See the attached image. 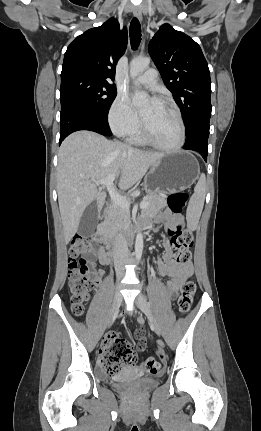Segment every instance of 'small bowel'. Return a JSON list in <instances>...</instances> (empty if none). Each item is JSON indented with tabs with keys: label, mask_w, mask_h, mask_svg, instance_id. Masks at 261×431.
<instances>
[{
	"label": "small bowel",
	"mask_w": 261,
	"mask_h": 431,
	"mask_svg": "<svg viewBox=\"0 0 261 431\" xmlns=\"http://www.w3.org/2000/svg\"><path fill=\"white\" fill-rule=\"evenodd\" d=\"M156 220L166 221L170 228H174L181 222V218L179 216L174 215L169 211H165L163 214L156 217ZM150 221L151 219L147 218L144 222L149 223ZM162 247L164 252L162 257L158 260V270L161 275L169 277V280L166 283V291L168 296L174 298L177 295L181 285L192 276L193 267L190 263L180 265L173 260L171 245L168 241L164 240L162 242ZM89 255L91 257L92 265H94L96 261L102 265H108L111 263V260L103 246L91 248ZM103 275L104 271L102 269H93V281L96 287L100 286ZM106 339L104 340L103 344L106 342ZM145 346L146 342L144 339H142L139 343L138 349L143 350ZM135 362L136 357L134 354L133 360L130 364H134Z\"/></svg>",
	"instance_id": "1"
}]
</instances>
